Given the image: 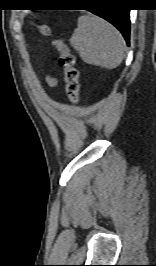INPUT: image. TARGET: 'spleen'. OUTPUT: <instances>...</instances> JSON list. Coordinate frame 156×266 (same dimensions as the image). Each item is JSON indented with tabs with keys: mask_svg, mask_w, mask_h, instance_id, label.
I'll use <instances>...</instances> for the list:
<instances>
[{
	"mask_svg": "<svg viewBox=\"0 0 156 266\" xmlns=\"http://www.w3.org/2000/svg\"><path fill=\"white\" fill-rule=\"evenodd\" d=\"M70 44L89 65L114 69L124 58L122 35L113 25L97 16L83 15L78 18Z\"/></svg>",
	"mask_w": 156,
	"mask_h": 266,
	"instance_id": "obj_1",
	"label": "spleen"
}]
</instances>
